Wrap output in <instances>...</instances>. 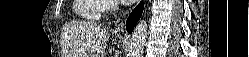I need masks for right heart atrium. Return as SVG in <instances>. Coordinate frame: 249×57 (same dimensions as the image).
<instances>
[{"instance_id": "1", "label": "right heart atrium", "mask_w": 249, "mask_h": 57, "mask_svg": "<svg viewBox=\"0 0 249 57\" xmlns=\"http://www.w3.org/2000/svg\"><path fill=\"white\" fill-rule=\"evenodd\" d=\"M103 11L111 12L116 9V2L113 0H102Z\"/></svg>"}]
</instances>
